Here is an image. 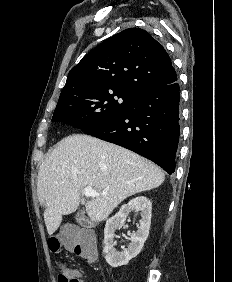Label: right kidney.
<instances>
[{
    "mask_svg": "<svg viewBox=\"0 0 232 282\" xmlns=\"http://www.w3.org/2000/svg\"><path fill=\"white\" fill-rule=\"evenodd\" d=\"M132 211H140V227L136 233H128L130 243L126 249L119 252L115 249V231L120 229L128 215ZM152 203L144 196L131 199L127 204L122 205L120 210L107 220L104 229V248L106 262L116 268L127 265L128 262L136 257L142 250L144 242L148 238L151 224Z\"/></svg>",
    "mask_w": 232,
    "mask_h": 282,
    "instance_id": "obj_1",
    "label": "right kidney"
}]
</instances>
